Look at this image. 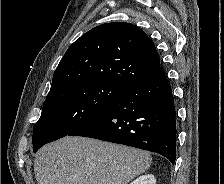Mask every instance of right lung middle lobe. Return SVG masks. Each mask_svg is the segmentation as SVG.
<instances>
[{
    "mask_svg": "<svg viewBox=\"0 0 224 184\" xmlns=\"http://www.w3.org/2000/svg\"><path fill=\"white\" fill-rule=\"evenodd\" d=\"M127 87L110 81H87L46 98L41 117L33 127V151L91 121Z\"/></svg>",
    "mask_w": 224,
    "mask_h": 184,
    "instance_id": "1",
    "label": "right lung middle lobe"
}]
</instances>
